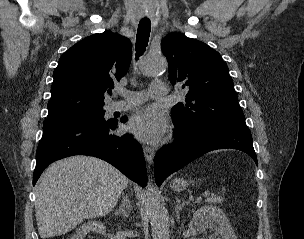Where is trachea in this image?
<instances>
[{"instance_id": "obj_1", "label": "trachea", "mask_w": 304, "mask_h": 239, "mask_svg": "<svg viewBox=\"0 0 304 239\" xmlns=\"http://www.w3.org/2000/svg\"><path fill=\"white\" fill-rule=\"evenodd\" d=\"M151 31V21L144 15L139 22L136 36V60L145 52Z\"/></svg>"}]
</instances>
